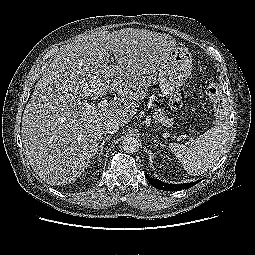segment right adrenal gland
<instances>
[{
	"label": "right adrenal gland",
	"instance_id": "right-adrenal-gland-1",
	"mask_svg": "<svg viewBox=\"0 0 255 255\" xmlns=\"http://www.w3.org/2000/svg\"><path fill=\"white\" fill-rule=\"evenodd\" d=\"M109 139H111V136H106V137L102 140L101 145L97 148V150L95 151L94 154H96V153H98V151H100V152H99V156H100V155L103 153V150H104V147H105V143H106ZM94 154H93V155H94Z\"/></svg>",
	"mask_w": 255,
	"mask_h": 255
}]
</instances>
